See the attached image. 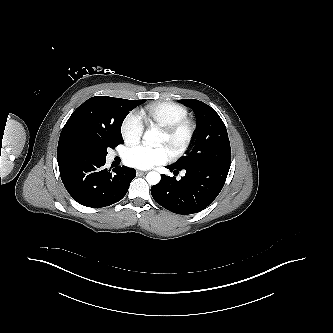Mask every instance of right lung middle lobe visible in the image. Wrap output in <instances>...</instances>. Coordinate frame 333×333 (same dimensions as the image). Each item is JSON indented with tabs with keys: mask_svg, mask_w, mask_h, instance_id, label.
Masks as SVG:
<instances>
[{
	"mask_svg": "<svg viewBox=\"0 0 333 333\" xmlns=\"http://www.w3.org/2000/svg\"><path fill=\"white\" fill-rule=\"evenodd\" d=\"M145 100L114 98L110 106V117L103 124H92L76 137L77 151L90 156L106 158L107 149L123 144L121 125L129 111Z\"/></svg>",
	"mask_w": 333,
	"mask_h": 333,
	"instance_id": "right-lung-middle-lobe-1",
	"label": "right lung middle lobe"
}]
</instances>
